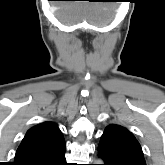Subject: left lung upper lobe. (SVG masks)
I'll use <instances>...</instances> for the list:
<instances>
[{
	"instance_id": "1",
	"label": "left lung upper lobe",
	"mask_w": 165,
	"mask_h": 165,
	"mask_svg": "<svg viewBox=\"0 0 165 165\" xmlns=\"http://www.w3.org/2000/svg\"><path fill=\"white\" fill-rule=\"evenodd\" d=\"M98 154L107 165H146L136 138L126 128L116 124L106 127Z\"/></svg>"
}]
</instances>
